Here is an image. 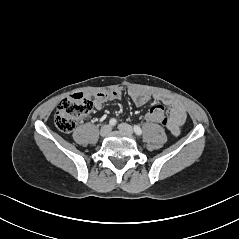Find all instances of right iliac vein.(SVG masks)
I'll list each match as a JSON object with an SVG mask.
<instances>
[{
  "label": "right iliac vein",
  "mask_w": 239,
  "mask_h": 239,
  "mask_svg": "<svg viewBox=\"0 0 239 239\" xmlns=\"http://www.w3.org/2000/svg\"><path fill=\"white\" fill-rule=\"evenodd\" d=\"M111 132V126L110 125H104L100 130V135L102 137L107 136Z\"/></svg>",
  "instance_id": "right-iliac-vein-1"
}]
</instances>
